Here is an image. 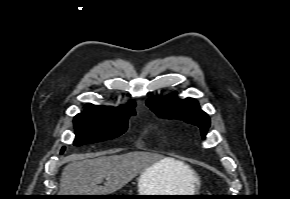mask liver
Wrapping results in <instances>:
<instances>
[{
  "label": "liver",
  "instance_id": "liver-1",
  "mask_svg": "<svg viewBox=\"0 0 290 199\" xmlns=\"http://www.w3.org/2000/svg\"><path fill=\"white\" fill-rule=\"evenodd\" d=\"M157 165L172 177L173 193H194L198 178L183 162L162 158L149 152H129L73 161L67 164L60 179V195H110L124 187L138 174ZM106 180L104 186L99 184Z\"/></svg>",
  "mask_w": 290,
  "mask_h": 199
}]
</instances>
